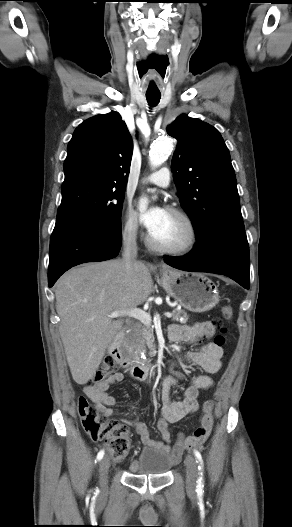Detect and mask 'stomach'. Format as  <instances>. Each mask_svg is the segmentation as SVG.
Wrapping results in <instances>:
<instances>
[{
  "label": "stomach",
  "instance_id": "1",
  "mask_svg": "<svg viewBox=\"0 0 292 527\" xmlns=\"http://www.w3.org/2000/svg\"><path fill=\"white\" fill-rule=\"evenodd\" d=\"M161 284L182 307L192 312L209 311L219 302L216 285L201 273L165 270Z\"/></svg>",
  "mask_w": 292,
  "mask_h": 527
}]
</instances>
